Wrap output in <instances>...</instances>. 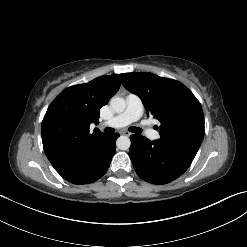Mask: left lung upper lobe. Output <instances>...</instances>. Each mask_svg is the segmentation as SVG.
<instances>
[{
    "label": "left lung upper lobe",
    "instance_id": "obj_1",
    "mask_svg": "<svg viewBox=\"0 0 247 247\" xmlns=\"http://www.w3.org/2000/svg\"><path fill=\"white\" fill-rule=\"evenodd\" d=\"M123 86L138 95L147 114L160 121L166 147L195 157L204 137L202 107L182 83L147 72L120 74Z\"/></svg>",
    "mask_w": 247,
    "mask_h": 247
}]
</instances>
